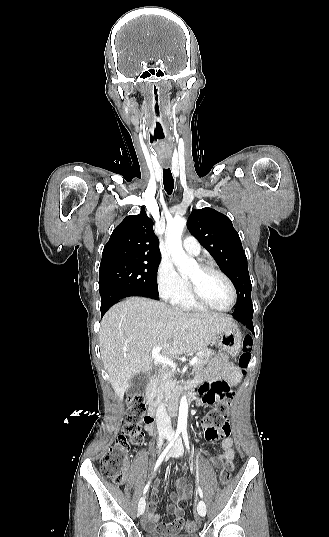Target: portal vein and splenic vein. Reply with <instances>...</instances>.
<instances>
[{"label": "portal vein and splenic vein", "mask_w": 329, "mask_h": 537, "mask_svg": "<svg viewBox=\"0 0 329 537\" xmlns=\"http://www.w3.org/2000/svg\"><path fill=\"white\" fill-rule=\"evenodd\" d=\"M162 349V346H156L152 349V358L158 362V363H162L164 365H168L169 367L175 369L176 368V364L169 358H166V357H163L160 355V351ZM198 362V357H194L191 361H190V366H194L196 363Z\"/></svg>", "instance_id": "1"}]
</instances>
